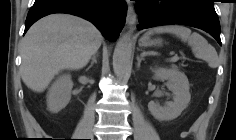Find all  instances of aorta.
<instances>
[{"label": "aorta", "instance_id": "aorta-1", "mask_svg": "<svg viewBox=\"0 0 236 140\" xmlns=\"http://www.w3.org/2000/svg\"><path fill=\"white\" fill-rule=\"evenodd\" d=\"M132 39L130 34L123 35L117 42L113 53V69L118 77H122L128 70L132 54Z\"/></svg>", "mask_w": 236, "mask_h": 140}]
</instances>
